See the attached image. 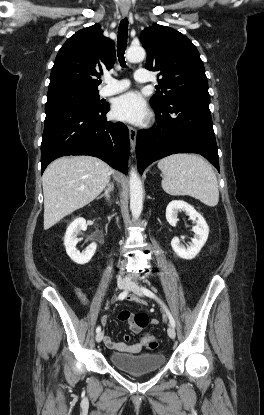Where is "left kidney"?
<instances>
[{"mask_svg":"<svg viewBox=\"0 0 264 415\" xmlns=\"http://www.w3.org/2000/svg\"><path fill=\"white\" fill-rule=\"evenodd\" d=\"M184 211L195 221L192 231L195 233L191 243L185 247L180 243L178 237H174L171 246L174 252L182 259L191 260L196 257L201 248L207 241L209 235V227L201 214H199L190 204L182 200H172L166 208V219L171 226H176L178 222V212ZM184 239V236L181 237Z\"/></svg>","mask_w":264,"mask_h":415,"instance_id":"5707ae66","label":"left kidney"}]
</instances>
